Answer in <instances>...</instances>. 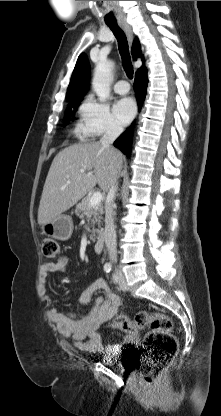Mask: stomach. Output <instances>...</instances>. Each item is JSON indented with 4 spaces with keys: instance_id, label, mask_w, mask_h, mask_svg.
<instances>
[{
    "instance_id": "stomach-1",
    "label": "stomach",
    "mask_w": 221,
    "mask_h": 416,
    "mask_svg": "<svg viewBox=\"0 0 221 416\" xmlns=\"http://www.w3.org/2000/svg\"><path fill=\"white\" fill-rule=\"evenodd\" d=\"M42 234L60 241L71 238L73 233V221L69 215H59L52 221L41 226Z\"/></svg>"
}]
</instances>
